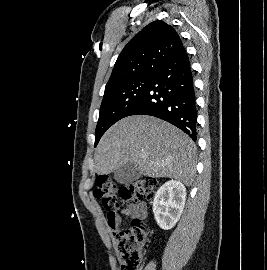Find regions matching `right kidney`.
Segmentation results:
<instances>
[{"label":"right kidney","mask_w":267,"mask_h":270,"mask_svg":"<svg viewBox=\"0 0 267 270\" xmlns=\"http://www.w3.org/2000/svg\"><path fill=\"white\" fill-rule=\"evenodd\" d=\"M186 201V188L176 180L164 183L156 192L153 213L159 227L169 230L180 219Z\"/></svg>","instance_id":"obj_1"}]
</instances>
